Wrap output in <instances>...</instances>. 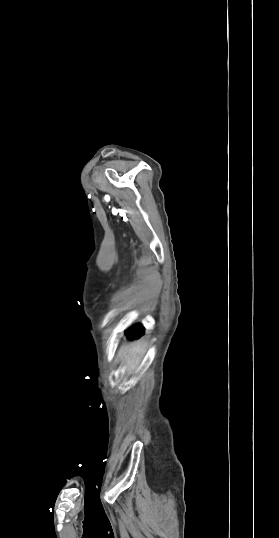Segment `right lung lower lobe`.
<instances>
[{
  "instance_id": "obj_1",
  "label": "right lung lower lobe",
  "mask_w": 279,
  "mask_h": 538,
  "mask_svg": "<svg viewBox=\"0 0 279 538\" xmlns=\"http://www.w3.org/2000/svg\"><path fill=\"white\" fill-rule=\"evenodd\" d=\"M144 334V328L141 325H136L135 327L130 328L126 335L129 339H135Z\"/></svg>"
}]
</instances>
